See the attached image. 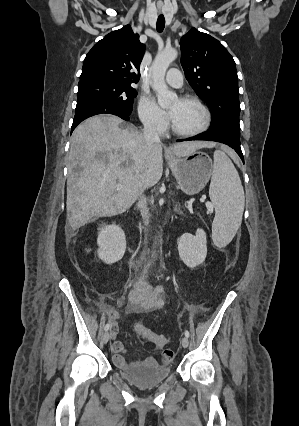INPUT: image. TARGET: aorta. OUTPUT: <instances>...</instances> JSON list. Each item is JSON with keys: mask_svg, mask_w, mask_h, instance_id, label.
Listing matches in <instances>:
<instances>
[{"mask_svg": "<svg viewBox=\"0 0 299 426\" xmlns=\"http://www.w3.org/2000/svg\"><path fill=\"white\" fill-rule=\"evenodd\" d=\"M178 56L174 48L165 49L158 53L151 65V87L158 96V103L161 107H167L177 98L176 93L170 91L165 83V74L170 65Z\"/></svg>", "mask_w": 299, "mask_h": 426, "instance_id": "1", "label": "aorta"}]
</instances>
